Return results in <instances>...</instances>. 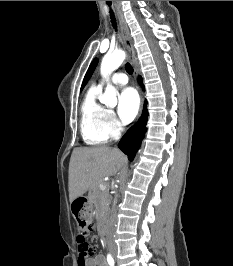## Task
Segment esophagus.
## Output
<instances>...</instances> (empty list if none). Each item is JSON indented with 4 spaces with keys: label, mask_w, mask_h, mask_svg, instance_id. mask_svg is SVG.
<instances>
[{
    "label": "esophagus",
    "mask_w": 233,
    "mask_h": 266,
    "mask_svg": "<svg viewBox=\"0 0 233 266\" xmlns=\"http://www.w3.org/2000/svg\"><path fill=\"white\" fill-rule=\"evenodd\" d=\"M116 12H117V17H118V21H119V25H120L122 38H123L125 47H126V49L128 51V60L130 61V63L134 64L135 59H136L135 50H134V47H133V43H132L131 37L129 35V31H128L126 22L124 20V17L122 15V12H121V10H120L118 5H116ZM134 71H135V74L137 75L138 71H137V69L135 67H134ZM140 95H141V107H140V111H139V114H138V118L141 115L142 108H143V101H144L143 93L141 91H140Z\"/></svg>",
    "instance_id": "obj_1"
}]
</instances>
